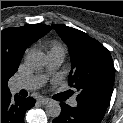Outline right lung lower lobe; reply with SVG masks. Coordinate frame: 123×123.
<instances>
[{
    "label": "right lung lower lobe",
    "instance_id": "obj_1",
    "mask_svg": "<svg viewBox=\"0 0 123 123\" xmlns=\"http://www.w3.org/2000/svg\"><path fill=\"white\" fill-rule=\"evenodd\" d=\"M35 99L23 98L11 94L1 97V123H24V115L27 109L35 104Z\"/></svg>",
    "mask_w": 123,
    "mask_h": 123
}]
</instances>
